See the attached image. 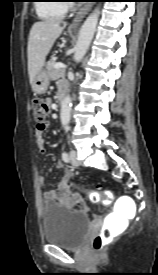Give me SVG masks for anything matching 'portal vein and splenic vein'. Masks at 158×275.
<instances>
[{
    "instance_id": "portal-vein-and-splenic-vein-1",
    "label": "portal vein and splenic vein",
    "mask_w": 158,
    "mask_h": 275,
    "mask_svg": "<svg viewBox=\"0 0 158 275\" xmlns=\"http://www.w3.org/2000/svg\"><path fill=\"white\" fill-rule=\"evenodd\" d=\"M54 67L55 68H63V69L67 68V66L62 63H56Z\"/></svg>"
}]
</instances>
